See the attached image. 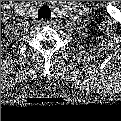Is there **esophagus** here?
Returning <instances> with one entry per match:
<instances>
[{"label":"esophagus","instance_id":"obj_1","mask_svg":"<svg viewBox=\"0 0 121 121\" xmlns=\"http://www.w3.org/2000/svg\"><path fill=\"white\" fill-rule=\"evenodd\" d=\"M42 24H43V25H49V24H50V21H49V20L44 19V20H42Z\"/></svg>","mask_w":121,"mask_h":121}]
</instances>
